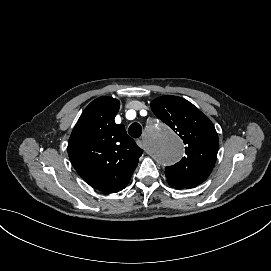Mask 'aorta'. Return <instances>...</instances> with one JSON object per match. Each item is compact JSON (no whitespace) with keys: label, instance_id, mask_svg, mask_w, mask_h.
Wrapping results in <instances>:
<instances>
[{"label":"aorta","instance_id":"aorta-1","mask_svg":"<svg viewBox=\"0 0 271 271\" xmlns=\"http://www.w3.org/2000/svg\"><path fill=\"white\" fill-rule=\"evenodd\" d=\"M147 146L154 159L170 166L183 156V144L174 134L163 126H154L146 135Z\"/></svg>","mask_w":271,"mask_h":271}]
</instances>
